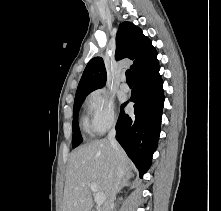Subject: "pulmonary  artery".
I'll use <instances>...</instances> for the list:
<instances>
[{
	"label": "pulmonary artery",
	"instance_id": "e3ab8cb5",
	"mask_svg": "<svg viewBox=\"0 0 221 211\" xmlns=\"http://www.w3.org/2000/svg\"><path fill=\"white\" fill-rule=\"evenodd\" d=\"M120 88H121V90H123L125 92H127L129 90V86H128L127 82H126L125 76L121 77Z\"/></svg>",
	"mask_w": 221,
	"mask_h": 211
}]
</instances>
